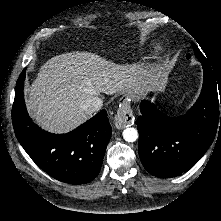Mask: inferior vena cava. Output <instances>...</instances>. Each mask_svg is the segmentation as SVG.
<instances>
[{
	"label": "inferior vena cava",
	"mask_w": 221,
	"mask_h": 221,
	"mask_svg": "<svg viewBox=\"0 0 221 221\" xmlns=\"http://www.w3.org/2000/svg\"><path fill=\"white\" fill-rule=\"evenodd\" d=\"M103 105V100L97 96L89 97L86 99L83 105L84 109H89L91 111H98Z\"/></svg>",
	"instance_id": "602c4592"
}]
</instances>
